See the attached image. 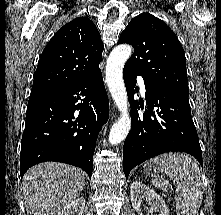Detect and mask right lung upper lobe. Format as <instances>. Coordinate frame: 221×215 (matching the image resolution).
I'll list each match as a JSON object with an SVG mask.
<instances>
[{
	"label": "right lung upper lobe",
	"mask_w": 221,
	"mask_h": 215,
	"mask_svg": "<svg viewBox=\"0 0 221 215\" xmlns=\"http://www.w3.org/2000/svg\"><path fill=\"white\" fill-rule=\"evenodd\" d=\"M103 43L95 24L78 17L60 28L42 52L30 96L63 87L97 67Z\"/></svg>",
	"instance_id": "1"
}]
</instances>
